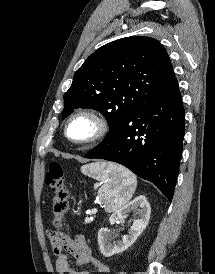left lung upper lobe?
I'll return each instance as SVG.
<instances>
[{"mask_svg":"<svg viewBox=\"0 0 215 274\" xmlns=\"http://www.w3.org/2000/svg\"><path fill=\"white\" fill-rule=\"evenodd\" d=\"M163 45L150 37L110 42L90 55L64 94L63 119L74 109L92 108L108 120L112 134L138 105L173 78Z\"/></svg>","mask_w":215,"mask_h":274,"instance_id":"obj_1","label":"left lung upper lobe"}]
</instances>
